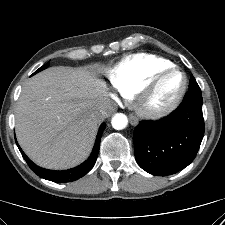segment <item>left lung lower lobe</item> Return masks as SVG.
I'll list each match as a JSON object with an SVG mask.
<instances>
[{"label": "left lung lower lobe", "mask_w": 225, "mask_h": 225, "mask_svg": "<svg viewBox=\"0 0 225 225\" xmlns=\"http://www.w3.org/2000/svg\"><path fill=\"white\" fill-rule=\"evenodd\" d=\"M204 135L201 91L189 90L166 118L141 121L134 138L135 158L146 172L174 174L195 158Z\"/></svg>", "instance_id": "1"}]
</instances>
